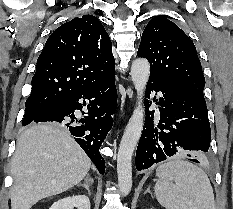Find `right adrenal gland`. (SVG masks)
Masks as SVG:
<instances>
[{"mask_svg":"<svg viewBox=\"0 0 233 209\" xmlns=\"http://www.w3.org/2000/svg\"><path fill=\"white\" fill-rule=\"evenodd\" d=\"M84 180H85L84 184H78L77 186H78V187H79V186L84 187V188L88 191V194H89V196H90V195H91L90 184L93 183V179L90 177L89 174H87V176L85 177Z\"/></svg>","mask_w":233,"mask_h":209,"instance_id":"1","label":"right adrenal gland"}]
</instances>
